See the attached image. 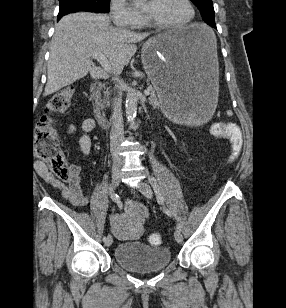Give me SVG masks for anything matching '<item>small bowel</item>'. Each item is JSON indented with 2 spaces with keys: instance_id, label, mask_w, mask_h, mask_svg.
Segmentation results:
<instances>
[{
  "instance_id": "obj_1",
  "label": "small bowel",
  "mask_w": 286,
  "mask_h": 308,
  "mask_svg": "<svg viewBox=\"0 0 286 308\" xmlns=\"http://www.w3.org/2000/svg\"><path fill=\"white\" fill-rule=\"evenodd\" d=\"M223 123L229 125L230 134L228 137L230 140L235 138L241 140V132L237 126L227 122ZM95 128L96 124L92 118L84 119L79 125L72 123L67 127V134L69 136L80 132L79 146L84 158L88 157L91 152L92 140L90 134L95 131ZM70 169L72 175L67 184H63L52 178L43 163L38 162L36 167V171L40 176L51 181L60 189L62 197L66 201L72 206L81 207L87 203V197L80 184L79 175L81 169L78 164H71ZM146 217L147 211L143 205L128 200L123 213L113 214L110 217L111 231L119 240H136L142 234Z\"/></svg>"
}]
</instances>
